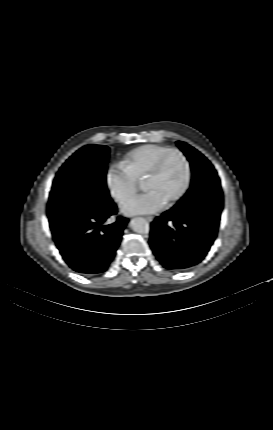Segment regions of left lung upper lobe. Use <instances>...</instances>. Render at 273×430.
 I'll use <instances>...</instances> for the list:
<instances>
[{
	"label": "left lung upper lobe",
	"instance_id": "5c2ea615",
	"mask_svg": "<svg viewBox=\"0 0 273 430\" xmlns=\"http://www.w3.org/2000/svg\"><path fill=\"white\" fill-rule=\"evenodd\" d=\"M177 145L190 161L193 172L191 187L183 197L194 195L205 188L221 190L217 172L207 158L187 143L177 141Z\"/></svg>",
	"mask_w": 273,
	"mask_h": 430
}]
</instances>
